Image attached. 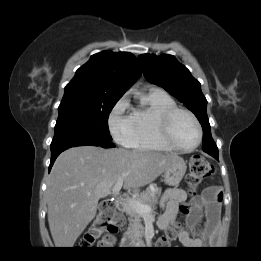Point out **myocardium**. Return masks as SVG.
I'll return each mask as SVG.
<instances>
[{"instance_id":"myocardium-1","label":"myocardium","mask_w":261,"mask_h":261,"mask_svg":"<svg viewBox=\"0 0 261 261\" xmlns=\"http://www.w3.org/2000/svg\"><path fill=\"white\" fill-rule=\"evenodd\" d=\"M179 113H184V114L188 115L193 120V122L197 128L198 139H197L196 143L190 147H182V146L178 145L174 141L173 136H172L171 125H172V122H173L175 116ZM158 129H159L160 137L163 140V142L169 148H171L172 150H176V151H181V152L194 151L196 148L199 147V145L201 144L202 139H203V130H202L200 121L198 120V118L192 111H190L186 108H182V107L176 106V107L170 108L167 111H165L158 119Z\"/></svg>"}]
</instances>
